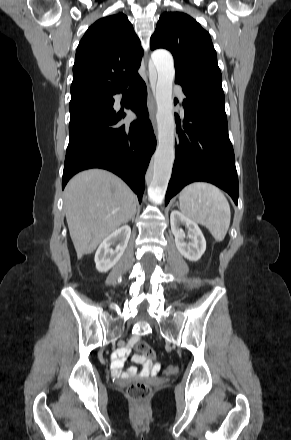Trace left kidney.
Returning <instances> with one entry per match:
<instances>
[{
    "mask_svg": "<svg viewBox=\"0 0 291 440\" xmlns=\"http://www.w3.org/2000/svg\"><path fill=\"white\" fill-rule=\"evenodd\" d=\"M170 224L180 254L190 261H198L206 250V240L197 223L181 212L173 210L170 215ZM181 224L187 227V236L179 228ZM186 238H189V242L185 241Z\"/></svg>",
    "mask_w": 291,
    "mask_h": 440,
    "instance_id": "obj_1",
    "label": "left kidney"
}]
</instances>
